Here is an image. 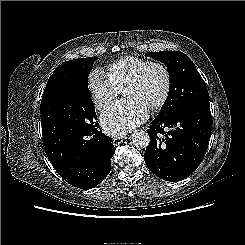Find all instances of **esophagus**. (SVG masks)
Segmentation results:
<instances>
[{"label": "esophagus", "mask_w": 245, "mask_h": 245, "mask_svg": "<svg viewBox=\"0 0 245 245\" xmlns=\"http://www.w3.org/2000/svg\"><path fill=\"white\" fill-rule=\"evenodd\" d=\"M124 139H125L124 136H116L113 138V142L115 145H119L120 143L123 142Z\"/></svg>", "instance_id": "esophagus-1"}]
</instances>
